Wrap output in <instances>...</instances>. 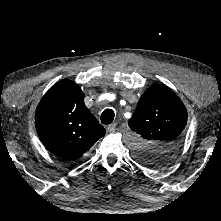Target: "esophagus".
Returning a JSON list of instances; mask_svg holds the SVG:
<instances>
[{
	"instance_id": "esophagus-1",
	"label": "esophagus",
	"mask_w": 221,
	"mask_h": 221,
	"mask_svg": "<svg viewBox=\"0 0 221 221\" xmlns=\"http://www.w3.org/2000/svg\"><path fill=\"white\" fill-rule=\"evenodd\" d=\"M116 127H117V124H116V123H112V124H110V125L107 127V131H108L109 133H113V132H115Z\"/></svg>"
}]
</instances>
